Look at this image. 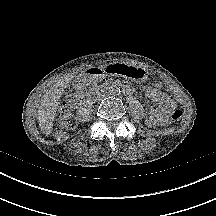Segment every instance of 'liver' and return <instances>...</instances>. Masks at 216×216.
I'll use <instances>...</instances> for the list:
<instances>
[{"instance_id": "liver-1", "label": "liver", "mask_w": 216, "mask_h": 216, "mask_svg": "<svg viewBox=\"0 0 216 216\" xmlns=\"http://www.w3.org/2000/svg\"><path fill=\"white\" fill-rule=\"evenodd\" d=\"M64 85L61 84L60 88L55 86L43 96V100L39 106L37 119L39 128L46 136L51 135L53 130V122L56 116V110L60 104L59 99L64 90Z\"/></svg>"}]
</instances>
